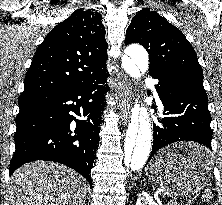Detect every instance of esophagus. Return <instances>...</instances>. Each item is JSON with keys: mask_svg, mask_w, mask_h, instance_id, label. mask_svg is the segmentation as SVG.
Returning a JSON list of instances; mask_svg holds the SVG:
<instances>
[{"mask_svg": "<svg viewBox=\"0 0 222 205\" xmlns=\"http://www.w3.org/2000/svg\"><path fill=\"white\" fill-rule=\"evenodd\" d=\"M119 89V104L118 109L120 111L123 123H127V118L130 109V98L132 93L131 81L128 78H124L118 86Z\"/></svg>", "mask_w": 222, "mask_h": 205, "instance_id": "esophagus-1", "label": "esophagus"}]
</instances>
